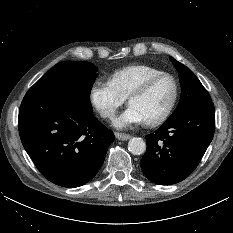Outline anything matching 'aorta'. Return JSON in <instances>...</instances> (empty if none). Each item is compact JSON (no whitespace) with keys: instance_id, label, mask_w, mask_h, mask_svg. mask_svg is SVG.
<instances>
[{"instance_id":"762f6f07","label":"aorta","mask_w":233,"mask_h":233,"mask_svg":"<svg viewBox=\"0 0 233 233\" xmlns=\"http://www.w3.org/2000/svg\"><path fill=\"white\" fill-rule=\"evenodd\" d=\"M128 150L133 155H140L146 151V143L142 138L133 137L128 142Z\"/></svg>"}]
</instances>
